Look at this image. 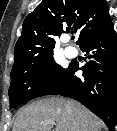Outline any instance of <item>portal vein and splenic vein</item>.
Listing matches in <instances>:
<instances>
[{"mask_svg":"<svg viewBox=\"0 0 117 131\" xmlns=\"http://www.w3.org/2000/svg\"><path fill=\"white\" fill-rule=\"evenodd\" d=\"M43 123H46V124H54L53 121H45V122H43Z\"/></svg>","mask_w":117,"mask_h":131,"instance_id":"18ae733b","label":"portal vein and splenic vein"}]
</instances>
